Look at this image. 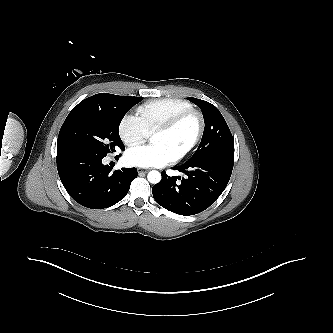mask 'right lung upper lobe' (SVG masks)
Segmentation results:
<instances>
[{"label":"right lung upper lobe","instance_id":"cb5924a9","mask_svg":"<svg viewBox=\"0 0 333 333\" xmlns=\"http://www.w3.org/2000/svg\"><path fill=\"white\" fill-rule=\"evenodd\" d=\"M107 93H100V94H96L94 96H91L83 101H89V102H95V103H102L105 96Z\"/></svg>","mask_w":333,"mask_h":333}]
</instances>
